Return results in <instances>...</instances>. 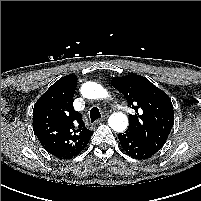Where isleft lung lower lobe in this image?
<instances>
[{"label":"left lung lower lobe","instance_id":"obj_1","mask_svg":"<svg viewBox=\"0 0 201 201\" xmlns=\"http://www.w3.org/2000/svg\"><path fill=\"white\" fill-rule=\"evenodd\" d=\"M118 138L122 148L135 159H148L159 150L128 129L124 133H120Z\"/></svg>","mask_w":201,"mask_h":201}]
</instances>
